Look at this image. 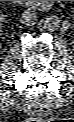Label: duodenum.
I'll list each match as a JSON object with an SVG mask.
<instances>
[{
	"mask_svg": "<svg viewBox=\"0 0 74 122\" xmlns=\"http://www.w3.org/2000/svg\"><path fill=\"white\" fill-rule=\"evenodd\" d=\"M19 2L22 4V6L29 9L33 8L34 6V3H33L34 1H19Z\"/></svg>",
	"mask_w": 74,
	"mask_h": 122,
	"instance_id": "1",
	"label": "duodenum"
}]
</instances>
